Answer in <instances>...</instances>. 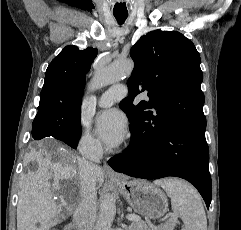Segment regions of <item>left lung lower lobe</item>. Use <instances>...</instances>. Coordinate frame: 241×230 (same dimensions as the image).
Returning a JSON list of instances; mask_svg holds the SVG:
<instances>
[{
  "instance_id": "obj_1",
  "label": "left lung lower lobe",
  "mask_w": 241,
  "mask_h": 230,
  "mask_svg": "<svg viewBox=\"0 0 241 230\" xmlns=\"http://www.w3.org/2000/svg\"><path fill=\"white\" fill-rule=\"evenodd\" d=\"M131 143L108 163L117 172L144 178L176 176L192 183L210 206L212 185L205 131L170 128L157 138L147 137L131 124Z\"/></svg>"
}]
</instances>
